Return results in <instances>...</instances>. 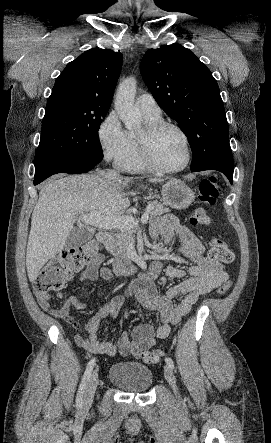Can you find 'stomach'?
<instances>
[{
	"label": "stomach",
	"mask_w": 271,
	"mask_h": 443,
	"mask_svg": "<svg viewBox=\"0 0 271 443\" xmlns=\"http://www.w3.org/2000/svg\"><path fill=\"white\" fill-rule=\"evenodd\" d=\"M161 196L164 204L174 210H185L196 198L195 192L180 180L167 182L162 188Z\"/></svg>",
	"instance_id": "0dacf381"
}]
</instances>
